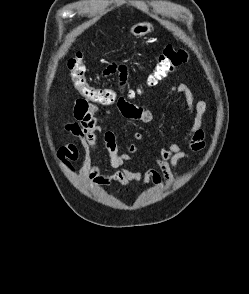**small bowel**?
I'll list each match as a JSON object with an SVG mask.
<instances>
[{"instance_id":"obj_1","label":"small bowel","mask_w":249,"mask_h":294,"mask_svg":"<svg viewBox=\"0 0 249 294\" xmlns=\"http://www.w3.org/2000/svg\"><path fill=\"white\" fill-rule=\"evenodd\" d=\"M107 75L109 74L104 72V76ZM127 78L125 68L119 72L121 88L126 84ZM174 94L182 97L185 102L188 129L180 139L171 140L153 150L154 160L160 170L127 168L125 164L138 152L137 146L131 144L122 151L116 133L103 129L99 124L98 107L85 99L78 98L74 107L76 120L67 122L65 128L79 139L83 151V162L78 171L79 178L96 188L108 186L113 182L120 184L124 189H127L132 182L138 183L139 187L148 184H153L157 188L163 185L171 186L174 179L180 177L179 162L191 160V155L182 149V145H187L193 152H201L205 148L206 132L202 128V120L207 109L206 102L195 101L191 90L183 83H174L171 86L168 96ZM116 106L127 120L140 123H149L153 120L154 115L150 109L136 105L124 97L117 100ZM99 133H103V146L109 156L108 171H103L99 163ZM133 137L136 140H143L141 133H135ZM56 155L60 163L72 173L74 171L72 162L78 160L80 152L76 144L66 142L58 149Z\"/></svg>"}]
</instances>
